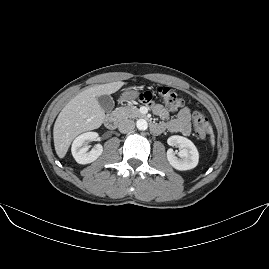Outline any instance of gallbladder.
I'll use <instances>...</instances> for the list:
<instances>
[{"label":"gallbladder","instance_id":"gallbladder-1","mask_svg":"<svg viewBox=\"0 0 269 269\" xmlns=\"http://www.w3.org/2000/svg\"><path fill=\"white\" fill-rule=\"evenodd\" d=\"M99 105L106 112H110L114 107V100L108 94L99 95L96 97Z\"/></svg>","mask_w":269,"mask_h":269}]
</instances>
